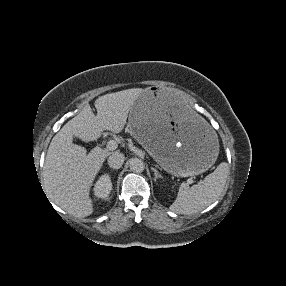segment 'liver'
<instances>
[{"label": "liver", "instance_id": "liver-1", "mask_svg": "<svg viewBox=\"0 0 286 286\" xmlns=\"http://www.w3.org/2000/svg\"><path fill=\"white\" fill-rule=\"evenodd\" d=\"M143 89H127L96 99L95 116L90 106L68 121L53 137L44 162L43 180L48 197L67 213L83 218L94 211L90 197L93 181L109 152L95 147L87 150L73 143L97 140L104 130L120 133L134 101Z\"/></svg>", "mask_w": 286, "mask_h": 286}]
</instances>
